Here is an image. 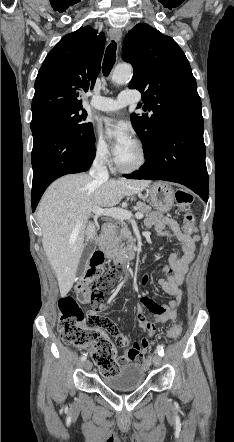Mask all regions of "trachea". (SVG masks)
<instances>
[{
  "label": "trachea",
  "instance_id": "obj_1",
  "mask_svg": "<svg viewBox=\"0 0 234 442\" xmlns=\"http://www.w3.org/2000/svg\"><path fill=\"white\" fill-rule=\"evenodd\" d=\"M116 50H117V44L116 42L112 41L105 51V56L102 65V72L104 76H108L110 74L113 65L115 64Z\"/></svg>",
  "mask_w": 234,
  "mask_h": 442
}]
</instances>
